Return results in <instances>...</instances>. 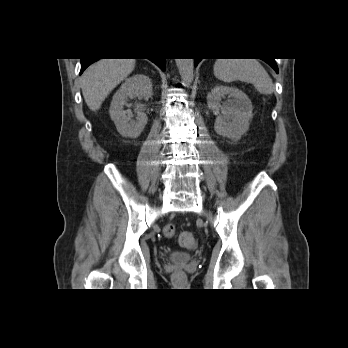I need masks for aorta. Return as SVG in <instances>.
<instances>
[{
  "label": "aorta",
  "instance_id": "762f6f07",
  "mask_svg": "<svg viewBox=\"0 0 348 348\" xmlns=\"http://www.w3.org/2000/svg\"><path fill=\"white\" fill-rule=\"evenodd\" d=\"M183 84L188 85L194 78L193 59H175Z\"/></svg>",
  "mask_w": 348,
  "mask_h": 348
}]
</instances>
